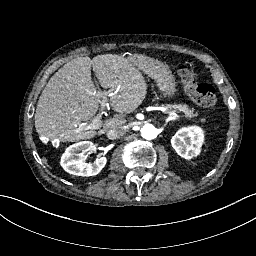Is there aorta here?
<instances>
[{"label": "aorta", "mask_w": 256, "mask_h": 256, "mask_svg": "<svg viewBox=\"0 0 256 256\" xmlns=\"http://www.w3.org/2000/svg\"><path fill=\"white\" fill-rule=\"evenodd\" d=\"M141 136L146 139V140H152L154 138L157 137V128L155 125L153 124H145L142 128H141Z\"/></svg>", "instance_id": "obj_1"}]
</instances>
